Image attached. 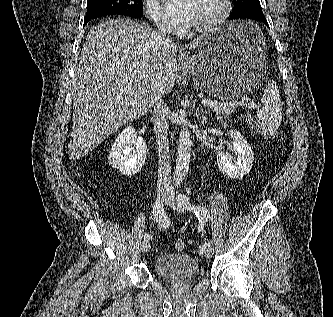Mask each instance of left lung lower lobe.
<instances>
[{
    "label": "left lung lower lobe",
    "mask_w": 333,
    "mask_h": 317,
    "mask_svg": "<svg viewBox=\"0 0 333 317\" xmlns=\"http://www.w3.org/2000/svg\"><path fill=\"white\" fill-rule=\"evenodd\" d=\"M229 19L231 20H237V19H253L257 21L263 22L266 26L269 27L267 20L263 14L262 11H251V12H245V13H240L235 16H231Z\"/></svg>",
    "instance_id": "obj_1"
}]
</instances>
